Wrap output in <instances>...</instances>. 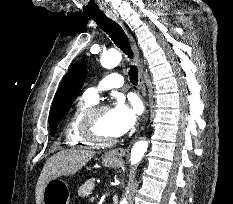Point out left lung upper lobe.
<instances>
[{
  "label": "left lung upper lobe",
  "mask_w": 233,
  "mask_h": 204,
  "mask_svg": "<svg viewBox=\"0 0 233 204\" xmlns=\"http://www.w3.org/2000/svg\"><path fill=\"white\" fill-rule=\"evenodd\" d=\"M86 73V65L83 62H80L69 71L62 81L55 94L50 112L49 125L52 135L65 112L77 98L85 81Z\"/></svg>",
  "instance_id": "5c2ea615"
}]
</instances>
